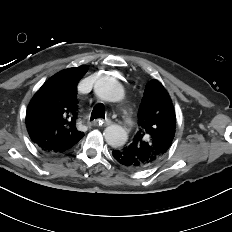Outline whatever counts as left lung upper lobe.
I'll return each mask as SVG.
<instances>
[{
    "label": "left lung upper lobe",
    "instance_id": "1",
    "mask_svg": "<svg viewBox=\"0 0 232 232\" xmlns=\"http://www.w3.org/2000/svg\"><path fill=\"white\" fill-rule=\"evenodd\" d=\"M139 131L127 150L146 169L168 152L175 135L176 115L170 96L163 85L153 79L144 91L139 109Z\"/></svg>",
    "mask_w": 232,
    "mask_h": 232
}]
</instances>
